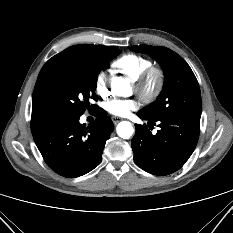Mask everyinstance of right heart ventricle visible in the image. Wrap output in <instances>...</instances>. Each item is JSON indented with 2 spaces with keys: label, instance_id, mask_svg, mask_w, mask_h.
<instances>
[{
  "label": "right heart ventricle",
  "instance_id": "e07e8e85",
  "mask_svg": "<svg viewBox=\"0 0 233 233\" xmlns=\"http://www.w3.org/2000/svg\"><path fill=\"white\" fill-rule=\"evenodd\" d=\"M151 65L152 61L149 58L136 53L124 54L112 63L115 71L125 75L130 80L137 78Z\"/></svg>",
  "mask_w": 233,
  "mask_h": 233
}]
</instances>
